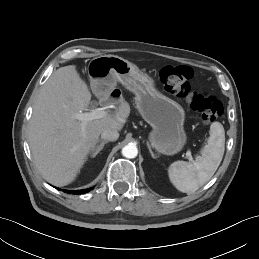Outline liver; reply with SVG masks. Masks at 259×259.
Here are the masks:
<instances>
[{"instance_id":"liver-1","label":"liver","mask_w":259,"mask_h":259,"mask_svg":"<svg viewBox=\"0 0 259 259\" xmlns=\"http://www.w3.org/2000/svg\"><path fill=\"white\" fill-rule=\"evenodd\" d=\"M91 92L75 65L57 69L41 88L33 107L28 138L34 163L43 178L55 186H65L76 178L106 129L120 131L129 116L127 103L115 114L87 122L75 114L90 104Z\"/></svg>"}]
</instances>
